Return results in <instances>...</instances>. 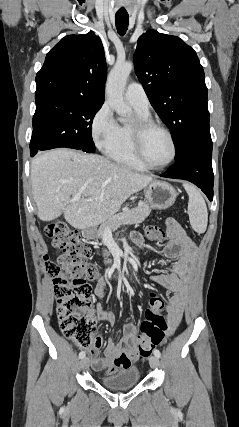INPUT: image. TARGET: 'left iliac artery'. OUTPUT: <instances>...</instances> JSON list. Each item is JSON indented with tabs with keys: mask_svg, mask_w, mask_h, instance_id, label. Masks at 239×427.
Segmentation results:
<instances>
[{
	"mask_svg": "<svg viewBox=\"0 0 239 427\" xmlns=\"http://www.w3.org/2000/svg\"><path fill=\"white\" fill-rule=\"evenodd\" d=\"M154 355H155L156 357H158V358H160V357H161V353H160V351H159L158 349H155V350H154Z\"/></svg>",
	"mask_w": 239,
	"mask_h": 427,
	"instance_id": "44dca946",
	"label": "left iliac artery"
}]
</instances>
